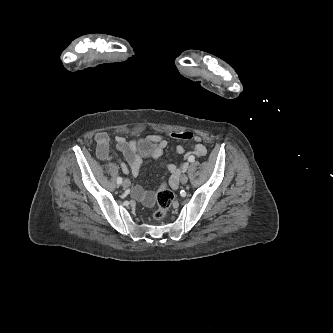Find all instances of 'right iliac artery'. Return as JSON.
<instances>
[{"mask_svg": "<svg viewBox=\"0 0 333 333\" xmlns=\"http://www.w3.org/2000/svg\"><path fill=\"white\" fill-rule=\"evenodd\" d=\"M122 183V178L121 177H118L117 178V184L120 185Z\"/></svg>", "mask_w": 333, "mask_h": 333, "instance_id": "82829eb1", "label": "right iliac artery"}]
</instances>
